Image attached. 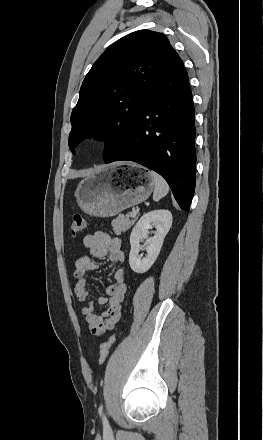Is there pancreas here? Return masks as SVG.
<instances>
[{
	"instance_id": "pancreas-1",
	"label": "pancreas",
	"mask_w": 263,
	"mask_h": 440,
	"mask_svg": "<svg viewBox=\"0 0 263 440\" xmlns=\"http://www.w3.org/2000/svg\"><path fill=\"white\" fill-rule=\"evenodd\" d=\"M111 224L114 233L121 235L122 232L127 231L133 225V221L129 219V215H119Z\"/></svg>"
}]
</instances>
